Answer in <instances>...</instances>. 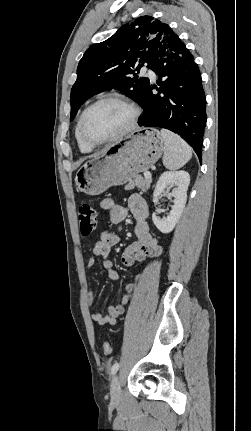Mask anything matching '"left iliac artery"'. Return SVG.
<instances>
[{
	"mask_svg": "<svg viewBox=\"0 0 251 431\" xmlns=\"http://www.w3.org/2000/svg\"><path fill=\"white\" fill-rule=\"evenodd\" d=\"M119 369V363L116 362L113 364L112 368H111V374L114 375Z\"/></svg>",
	"mask_w": 251,
	"mask_h": 431,
	"instance_id": "44dca946",
	"label": "left iliac artery"
}]
</instances>
